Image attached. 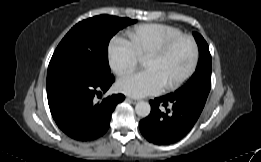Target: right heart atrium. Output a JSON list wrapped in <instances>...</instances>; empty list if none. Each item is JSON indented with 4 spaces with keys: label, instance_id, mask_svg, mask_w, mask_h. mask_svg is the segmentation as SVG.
Segmentation results:
<instances>
[{
    "label": "right heart atrium",
    "instance_id": "obj_1",
    "mask_svg": "<svg viewBox=\"0 0 261 162\" xmlns=\"http://www.w3.org/2000/svg\"><path fill=\"white\" fill-rule=\"evenodd\" d=\"M107 56L110 68L119 76L132 72L140 62L130 43L121 37L110 42Z\"/></svg>",
    "mask_w": 261,
    "mask_h": 162
}]
</instances>
